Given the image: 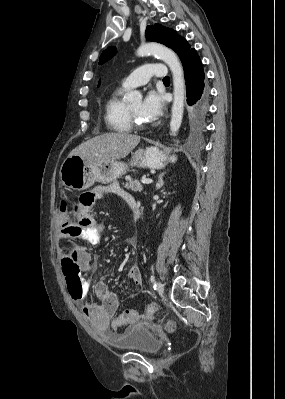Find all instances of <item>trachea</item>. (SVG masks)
<instances>
[{
	"instance_id": "1",
	"label": "trachea",
	"mask_w": 285,
	"mask_h": 399,
	"mask_svg": "<svg viewBox=\"0 0 285 399\" xmlns=\"http://www.w3.org/2000/svg\"><path fill=\"white\" fill-rule=\"evenodd\" d=\"M163 81H170L169 77H165Z\"/></svg>"
}]
</instances>
